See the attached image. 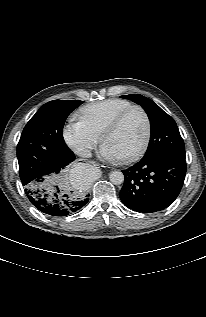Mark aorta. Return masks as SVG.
Masks as SVG:
<instances>
[{"mask_svg": "<svg viewBox=\"0 0 206 317\" xmlns=\"http://www.w3.org/2000/svg\"><path fill=\"white\" fill-rule=\"evenodd\" d=\"M91 171L92 168L85 166L82 170L83 177H86ZM109 179L114 185H120L124 182V174L121 171H113L110 173Z\"/></svg>", "mask_w": 206, "mask_h": 317, "instance_id": "762f6f07", "label": "aorta"}]
</instances>
